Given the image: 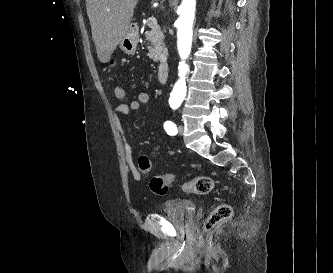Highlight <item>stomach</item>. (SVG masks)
Segmentation results:
<instances>
[{
	"mask_svg": "<svg viewBox=\"0 0 333 273\" xmlns=\"http://www.w3.org/2000/svg\"><path fill=\"white\" fill-rule=\"evenodd\" d=\"M139 41L138 32L135 28L130 27L127 34L120 42V48L128 55H133L137 49Z\"/></svg>",
	"mask_w": 333,
	"mask_h": 273,
	"instance_id": "obj_1",
	"label": "stomach"
}]
</instances>
